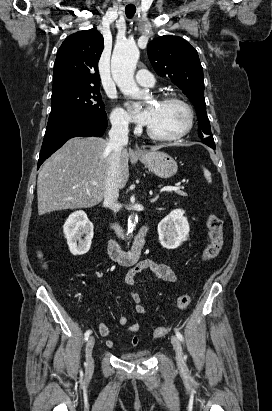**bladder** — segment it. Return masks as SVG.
<instances>
[{"mask_svg": "<svg viewBox=\"0 0 272 411\" xmlns=\"http://www.w3.org/2000/svg\"><path fill=\"white\" fill-rule=\"evenodd\" d=\"M149 356V352H138L133 354H124L121 356V359L128 362H138L147 359Z\"/></svg>", "mask_w": 272, "mask_h": 411, "instance_id": "bladder-1", "label": "bladder"}]
</instances>
